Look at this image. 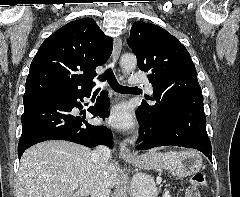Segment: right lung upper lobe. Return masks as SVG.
<instances>
[{
    "label": "right lung upper lobe",
    "instance_id": "1",
    "mask_svg": "<svg viewBox=\"0 0 240 197\" xmlns=\"http://www.w3.org/2000/svg\"><path fill=\"white\" fill-rule=\"evenodd\" d=\"M112 49L113 40L92 18L67 23L40 46L30 65L23 101L91 90L96 67L109 59Z\"/></svg>",
    "mask_w": 240,
    "mask_h": 197
}]
</instances>
